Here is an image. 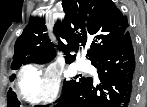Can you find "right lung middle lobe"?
<instances>
[{
    "label": "right lung middle lobe",
    "mask_w": 147,
    "mask_h": 107,
    "mask_svg": "<svg viewBox=\"0 0 147 107\" xmlns=\"http://www.w3.org/2000/svg\"><path fill=\"white\" fill-rule=\"evenodd\" d=\"M27 63H35V62L34 61H27L24 64H27ZM21 65L11 66V68L13 70H16ZM14 78H15V74H13L11 76V79H14ZM83 80H84V77L83 78H80L78 81H76V80H65L64 81V84H63L62 95H61V97L57 101H60L67 94H69L70 92H72L73 90H75L80 85V83ZM7 100H8V106H11V107H19V105H20V102L17 100L15 93H13L11 90L8 92ZM47 106L48 105H44V106H41V107H47Z\"/></svg>",
    "instance_id": "obj_1"
}]
</instances>
